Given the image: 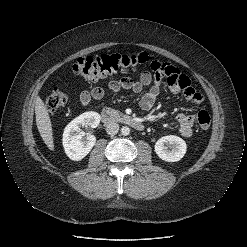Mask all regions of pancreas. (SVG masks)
<instances>
[{"mask_svg": "<svg viewBox=\"0 0 247 247\" xmlns=\"http://www.w3.org/2000/svg\"><path fill=\"white\" fill-rule=\"evenodd\" d=\"M115 116H116V117H121V116H123V114L120 113L119 111H115Z\"/></svg>", "mask_w": 247, "mask_h": 247, "instance_id": "obj_1", "label": "pancreas"}]
</instances>
